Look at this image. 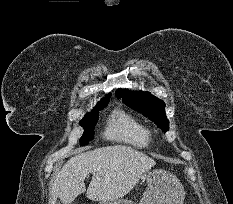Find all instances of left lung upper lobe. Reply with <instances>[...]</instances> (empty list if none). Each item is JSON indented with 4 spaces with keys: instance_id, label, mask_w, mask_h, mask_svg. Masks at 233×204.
Here are the masks:
<instances>
[{
    "instance_id": "1",
    "label": "left lung upper lobe",
    "mask_w": 233,
    "mask_h": 204,
    "mask_svg": "<svg viewBox=\"0 0 233 204\" xmlns=\"http://www.w3.org/2000/svg\"><path fill=\"white\" fill-rule=\"evenodd\" d=\"M116 96L122 98L123 102L142 112L150 120L154 121L163 131L169 130V121L165 114V104L162 100L151 95L149 92H131L124 89H118Z\"/></svg>"
}]
</instances>
